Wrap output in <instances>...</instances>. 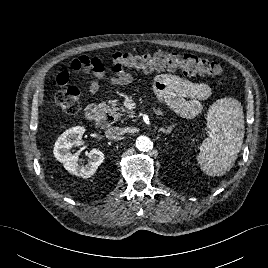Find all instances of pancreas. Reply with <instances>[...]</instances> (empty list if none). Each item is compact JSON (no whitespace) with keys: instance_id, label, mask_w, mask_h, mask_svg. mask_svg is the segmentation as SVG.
Masks as SVG:
<instances>
[{"instance_id":"pancreas-1","label":"pancreas","mask_w":268,"mask_h":268,"mask_svg":"<svg viewBox=\"0 0 268 268\" xmlns=\"http://www.w3.org/2000/svg\"><path fill=\"white\" fill-rule=\"evenodd\" d=\"M107 109L115 121L120 119L121 116H133V112L124 108L117 100H109L107 103Z\"/></svg>"}]
</instances>
